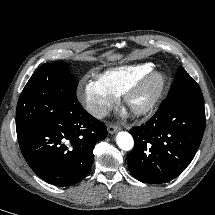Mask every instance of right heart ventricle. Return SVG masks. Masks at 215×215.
<instances>
[{
  "label": "right heart ventricle",
  "mask_w": 215,
  "mask_h": 215,
  "mask_svg": "<svg viewBox=\"0 0 215 215\" xmlns=\"http://www.w3.org/2000/svg\"><path fill=\"white\" fill-rule=\"evenodd\" d=\"M152 69L153 64L151 63L124 65L108 68L96 77L107 89L117 96L122 94L130 84Z\"/></svg>",
  "instance_id": "right-heart-ventricle-1"
}]
</instances>
